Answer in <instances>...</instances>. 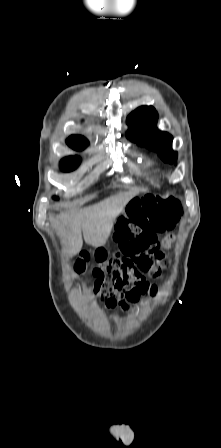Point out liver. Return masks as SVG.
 Instances as JSON below:
<instances>
[{"mask_svg": "<svg viewBox=\"0 0 221 448\" xmlns=\"http://www.w3.org/2000/svg\"><path fill=\"white\" fill-rule=\"evenodd\" d=\"M136 193H122L86 207L72 214H65L55 221L54 227L63 236V243L70 255L77 254L83 245L81 232L86 244L95 248L103 247L112 231L116 217Z\"/></svg>", "mask_w": 221, "mask_h": 448, "instance_id": "liver-1", "label": "liver"}]
</instances>
